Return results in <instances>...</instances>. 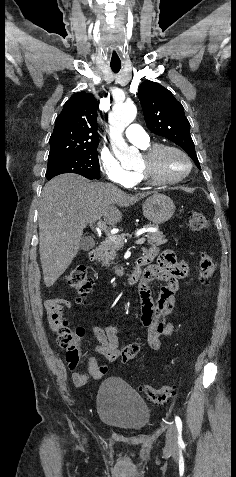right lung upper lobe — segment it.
I'll return each instance as SVG.
<instances>
[{"label": "right lung upper lobe", "instance_id": "1", "mask_svg": "<svg viewBox=\"0 0 236 477\" xmlns=\"http://www.w3.org/2000/svg\"><path fill=\"white\" fill-rule=\"evenodd\" d=\"M49 141L48 161L98 145L97 108L92 94L78 92L65 103Z\"/></svg>", "mask_w": 236, "mask_h": 477}]
</instances>
